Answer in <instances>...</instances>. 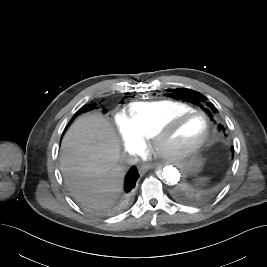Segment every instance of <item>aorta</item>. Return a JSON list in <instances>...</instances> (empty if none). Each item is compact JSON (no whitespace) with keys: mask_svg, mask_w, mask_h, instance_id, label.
Masks as SVG:
<instances>
[{"mask_svg":"<svg viewBox=\"0 0 267 267\" xmlns=\"http://www.w3.org/2000/svg\"><path fill=\"white\" fill-rule=\"evenodd\" d=\"M156 176L164 182L175 185L180 181L181 173L179 169L172 165L159 166L156 171Z\"/></svg>","mask_w":267,"mask_h":267,"instance_id":"obj_1","label":"aorta"}]
</instances>
